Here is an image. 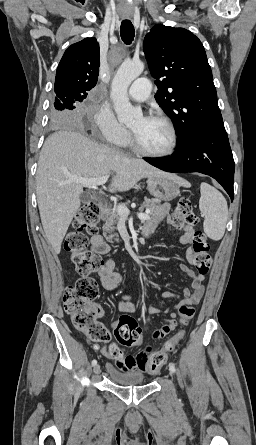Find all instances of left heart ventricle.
Here are the masks:
<instances>
[{
    "label": "left heart ventricle",
    "mask_w": 256,
    "mask_h": 445,
    "mask_svg": "<svg viewBox=\"0 0 256 445\" xmlns=\"http://www.w3.org/2000/svg\"><path fill=\"white\" fill-rule=\"evenodd\" d=\"M140 144L152 152L166 150L170 144V132L165 124L160 121L146 118H138L130 126Z\"/></svg>",
    "instance_id": "obj_1"
}]
</instances>
